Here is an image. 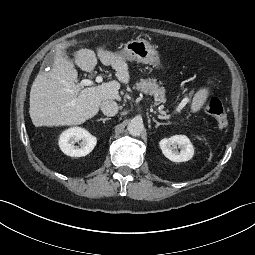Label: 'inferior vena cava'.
Instances as JSON below:
<instances>
[{
	"mask_svg": "<svg viewBox=\"0 0 255 255\" xmlns=\"http://www.w3.org/2000/svg\"><path fill=\"white\" fill-rule=\"evenodd\" d=\"M118 110V104L113 100H105L101 103V111L106 116H115Z\"/></svg>",
	"mask_w": 255,
	"mask_h": 255,
	"instance_id": "1",
	"label": "inferior vena cava"
}]
</instances>
